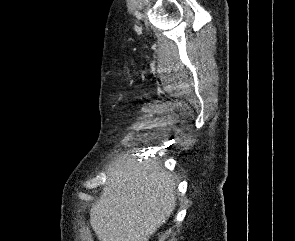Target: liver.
Instances as JSON below:
<instances>
[{"mask_svg":"<svg viewBox=\"0 0 295 241\" xmlns=\"http://www.w3.org/2000/svg\"><path fill=\"white\" fill-rule=\"evenodd\" d=\"M175 207L172 174L155 160L137 162L123 154L108 169L90 224L99 241H149Z\"/></svg>","mask_w":295,"mask_h":241,"instance_id":"liver-1","label":"liver"}]
</instances>
